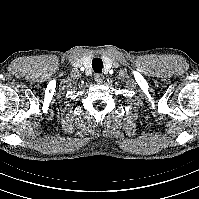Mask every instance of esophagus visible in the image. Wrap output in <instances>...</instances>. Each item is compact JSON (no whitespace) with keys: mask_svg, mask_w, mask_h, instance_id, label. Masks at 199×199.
Wrapping results in <instances>:
<instances>
[{"mask_svg":"<svg viewBox=\"0 0 199 199\" xmlns=\"http://www.w3.org/2000/svg\"><path fill=\"white\" fill-rule=\"evenodd\" d=\"M103 80H104V75H102V74H96V75H95V81H96L97 83H102Z\"/></svg>","mask_w":199,"mask_h":199,"instance_id":"esophagus-1","label":"esophagus"}]
</instances>
